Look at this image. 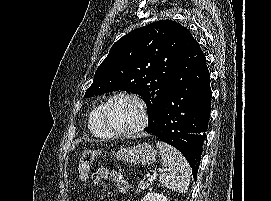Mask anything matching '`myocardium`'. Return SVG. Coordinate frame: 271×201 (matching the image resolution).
<instances>
[{
    "label": "myocardium",
    "mask_w": 271,
    "mask_h": 201,
    "mask_svg": "<svg viewBox=\"0 0 271 201\" xmlns=\"http://www.w3.org/2000/svg\"><path fill=\"white\" fill-rule=\"evenodd\" d=\"M117 98H129L138 105L140 109V113H141V119H140L139 124L133 129L125 130V131L118 130L111 124L108 117V107L111 104V102ZM101 118L106 129L113 135L122 136V137H131L142 132L147 127L148 122H149V112H148V108L145 101L138 94L134 92H130V91H119L112 94L103 103L102 109H101Z\"/></svg>",
    "instance_id": "1"
}]
</instances>
